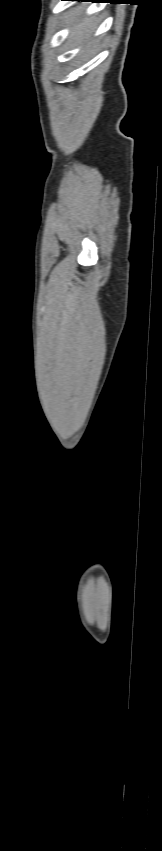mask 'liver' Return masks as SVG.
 I'll list each match as a JSON object with an SVG mask.
<instances>
[{
	"label": "liver",
	"instance_id": "obj_1",
	"mask_svg": "<svg viewBox=\"0 0 162 851\" xmlns=\"http://www.w3.org/2000/svg\"><path fill=\"white\" fill-rule=\"evenodd\" d=\"M82 11L79 9L70 12L66 16V25H72V30L69 35V40L72 41L75 45H80L89 40L91 35L96 29L95 26V18H80ZM91 42H88L85 46V49L89 47Z\"/></svg>",
	"mask_w": 162,
	"mask_h": 851
}]
</instances>
